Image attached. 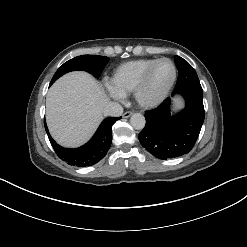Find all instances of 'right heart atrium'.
<instances>
[{
    "label": "right heart atrium",
    "mask_w": 247,
    "mask_h": 247,
    "mask_svg": "<svg viewBox=\"0 0 247 247\" xmlns=\"http://www.w3.org/2000/svg\"><path fill=\"white\" fill-rule=\"evenodd\" d=\"M109 92H110V94H111L113 97H115V98H117V99H120V98L123 97V95H122L121 93H119L117 90H115L113 87H109Z\"/></svg>",
    "instance_id": "obj_1"
}]
</instances>
